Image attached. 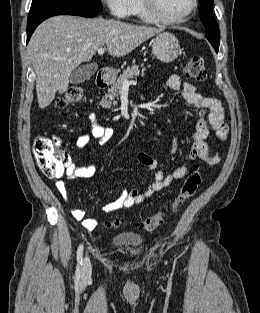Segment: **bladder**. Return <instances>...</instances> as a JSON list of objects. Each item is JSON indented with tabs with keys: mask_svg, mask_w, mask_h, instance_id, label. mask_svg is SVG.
I'll list each match as a JSON object with an SVG mask.
<instances>
[{
	"mask_svg": "<svg viewBox=\"0 0 260 313\" xmlns=\"http://www.w3.org/2000/svg\"><path fill=\"white\" fill-rule=\"evenodd\" d=\"M112 244L118 247H137L143 243V237L139 234H122L111 240Z\"/></svg>",
	"mask_w": 260,
	"mask_h": 313,
	"instance_id": "1",
	"label": "bladder"
}]
</instances>
